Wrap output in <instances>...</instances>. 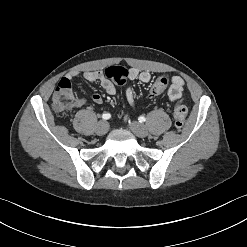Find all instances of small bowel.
<instances>
[{
	"label": "small bowel",
	"mask_w": 247,
	"mask_h": 247,
	"mask_svg": "<svg viewBox=\"0 0 247 247\" xmlns=\"http://www.w3.org/2000/svg\"><path fill=\"white\" fill-rule=\"evenodd\" d=\"M78 75V72H71L66 75L60 82L68 83L71 86V81ZM83 79L87 82L99 83L105 92L109 95L116 93V87L113 82L107 79L102 71H87L82 75ZM151 73L148 71H140L136 68H132L129 71V78L131 80H138L143 83H148L151 80ZM184 95V81L179 76H173L170 81L168 89V98L170 101H175L182 98ZM127 99L132 106H135V96L132 89L127 90ZM92 100L95 103H101L102 97L100 94H94ZM87 103L85 98H76L74 100L73 108H79Z\"/></svg>",
	"instance_id": "obj_1"
}]
</instances>
